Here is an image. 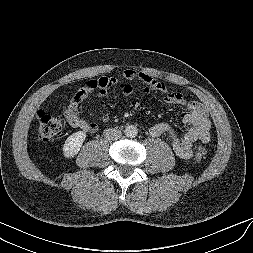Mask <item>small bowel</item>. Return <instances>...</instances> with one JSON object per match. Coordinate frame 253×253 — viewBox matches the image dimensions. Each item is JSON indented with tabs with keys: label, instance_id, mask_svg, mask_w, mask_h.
Masks as SVG:
<instances>
[{
	"label": "small bowel",
	"instance_id": "c3829d8e",
	"mask_svg": "<svg viewBox=\"0 0 253 253\" xmlns=\"http://www.w3.org/2000/svg\"><path fill=\"white\" fill-rule=\"evenodd\" d=\"M136 78L145 82V86L140 92L141 96H147L154 91L160 92L166 103L181 105L187 111L183 117V123L190 128L182 138H179L171 125L165 122L152 125L149 128L151 136L159 137L162 134H167L174 153L182 159L193 157V144L195 142L199 141L203 144L210 142L212 122L204 105L196 101L186 100L181 93L170 89L151 73L133 68L122 70L118 78L101 77L83 84L74 94L70 104L64 109L69 125L85 133H96L98 125L94 122H87L78 115L86 97L94 91H99L102 96H106L109 89L115 85L120 86L124 95H134L136 91L131 81ZM102 121L107 122L108 117L104 116Z\"/></svg>",
	"mask_w": 253,
	"mask_h": 253
}]
</instances>
